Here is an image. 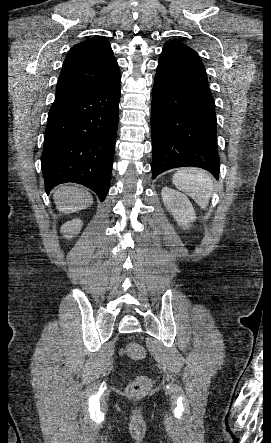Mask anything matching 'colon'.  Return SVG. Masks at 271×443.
Instances as JSON below:
<instances>
[{"label": "colon", "mask_w": 271, "mask_h": 443, "mask_svg": "<svg viewBox=\"0 0 271 443\" xmlns=\"http://www.w3.org/2000/svg\"><path fill=\"white\" fill-rule=\"evenodd\" d=\"M122 353L133 360H141L145 356L144 347L137 342H129L122 349ZM151 385L150 379L145 375L137 376L128 386L129 396L138 397L145 393Z\"/></svg>", "instance_id": "5ec220e1"}]
</instances>
